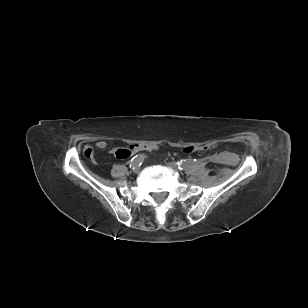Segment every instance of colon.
<instances>
[{
    "label": "colon",
    "instance_id": "1",
    "mask_svg": "<svg viewBox=\"0 0 308 308\" xmlns=\"http://www.w3.org/2000/svg\"><path fill=\"white\" fill-rule=\"evenodd\" d=\"M215 145L214 144H207L203 146H189L184 149V152L187 154L195 153V152H202L211 150ZM157 151V148L154 145L150 144H129L127 148H118L115 151V154L121 160H124L126 157L138 155L139 153L145 154H154ZM93 151L91 148L87 147L84 149V154L87 157L92 155Z\"/></svg>",
    "mask_w": 308,
    "mask_h": 308
}]
</instances>
